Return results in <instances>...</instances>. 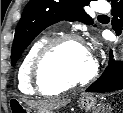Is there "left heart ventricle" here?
<instances>
[{"label":"left heart ventricle","mask_w":123,"mask_h":113,"mask_svg":"<svg viewBox=\"0 0 123 113\" xmlns=\"http://www.w3.org/2000/svg\"><path fill=\"white\" fill-rule=\"evenodd\" d=\"M91 67L92 60L85 47L68 42L47 60L44 74L52 83H69L85 77Z\"/></svg>","instance_id":"1"}]
</instances>
